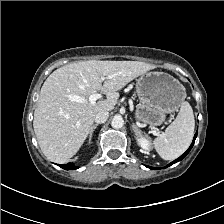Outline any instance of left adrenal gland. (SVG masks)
Returning <instances> with one entry per match:
<instances>
[{"label":"left adrenal gland","mask_w":224,"mask_h":224,"mask_svg":"<svg viewBox=\"0 0 224 224\" xmlns=\"http://www.w3.org/2000/svg\"><path fill=\"white\" fill-rule=\"evenodd\" d=\"M131 127H132V130L134 131V133H135L137 136H141V135H142L141 130H139L138 127H137L134 123H132Z\"/></svg>","instance_id":"left-adrenal-gland-1"}]
</instances>
